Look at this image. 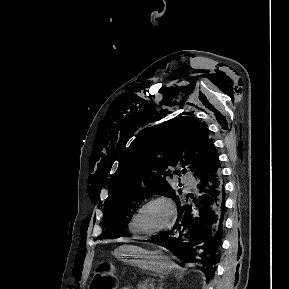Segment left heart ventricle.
I'll return each instance as SVG.
<instances>
[{
    "mask_svg": "<svg viewBox=\"0 0 289 289\" xmlns=\"http://www.w3.org/2000/svg\"><path fill=\"white\" fill-rule=\"evenodd\" d=\"M169 220V210L162 203H152L140 213L136 228L142 232H152L162 228Z\"/></svg>",
    "mask_w": 289,
    "mask_h": 289,
    "instance_id": "left-heart-ventricle-1",
    "label": "left heart ventricle"
}]
</instances>
